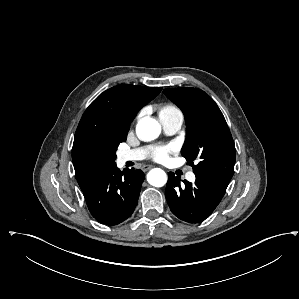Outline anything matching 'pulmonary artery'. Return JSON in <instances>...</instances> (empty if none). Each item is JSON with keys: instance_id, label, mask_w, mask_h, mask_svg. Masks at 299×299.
<instances>
[{"instance_id": "e3ab8cb5", "label": "pulmonary artery", "mask_w": 299, "mask_h": 299, "mask_svg": "<svg viewBox=\"0 0 299 299\" xmlns=\"http://www.w3.org/2000/svg\"><path fill=\"white\" fill-rule=\"evenodd\" d=\"M160 122L163 126L164 131L171 135L175 134L181 128L183 117L182 114H170V115H163L159 117ZM147 150L144 148H138L133 150L122 151L118 155V160L120 163H125L128 161H137L142 160L146 157ZM186 179L190 182H194L196 176L193 171H189L186 173Z\"/></svg>"}]
</instances>
